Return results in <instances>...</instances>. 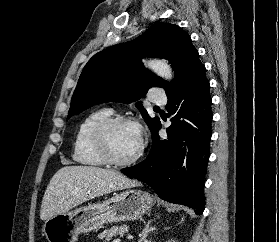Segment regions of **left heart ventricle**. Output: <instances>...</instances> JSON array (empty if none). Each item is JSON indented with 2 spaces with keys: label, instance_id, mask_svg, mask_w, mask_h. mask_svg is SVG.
<instances>
[{
  "label": "left heart ventricle",
  "instance_id": "left-heart-ventricle-1",
  "mask_svg": "<svg viewBox=\"0 0 279 242\" xmlns=\"http://www.w3.org/2000/svg\"><path fill=\"white\" fill-rule=\"evenodd\" d=\"M109 143L111 151L116 158L121 160L128 159L138 150L140 133L133 125L121 124L111 130Z\"/></svg>",
  "mask_w": 279,
  "mask_h": 242
}]
</instances>
